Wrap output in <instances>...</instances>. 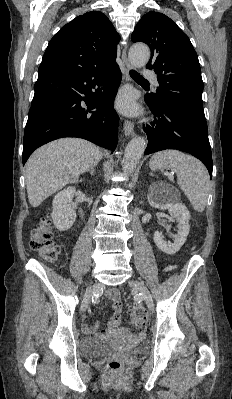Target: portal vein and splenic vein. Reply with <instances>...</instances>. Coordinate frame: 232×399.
<instances>
[{"instance_id":"1","label":"portal vein and splenic vein","mask_w":232,"mask_h":399,"mask_svg":"<svg viewBox=\"0 0 232 399\" xmlns=\"http://www.w3.org/2000/svg\"><path fill=\"white\" fill-rule=\"evenodd\" d=\"M174 172H171V176H173Z\"/></svg>"}]
</instances>
